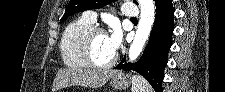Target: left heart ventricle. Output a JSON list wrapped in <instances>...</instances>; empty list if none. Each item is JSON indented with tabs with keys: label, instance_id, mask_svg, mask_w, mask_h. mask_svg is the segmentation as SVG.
<instances>
[{
	"label": "left heart ventricle",
	"instance_id": "b2bd125f",
	"mask_svg": "<svg viewBox=\"0 0 225 92\" xmlns=\"http://www.w3.org/2000/svg\"><path fill=\"white\" fill-rule=\"evenodd\" d=\"M91 54L93 59L99 64H105L114 57L115 52L112 50L107 33H98L94 36Z\"/></svg>",
	"mask_w": 225,
	"mask_h": 92
}]
</instances>
